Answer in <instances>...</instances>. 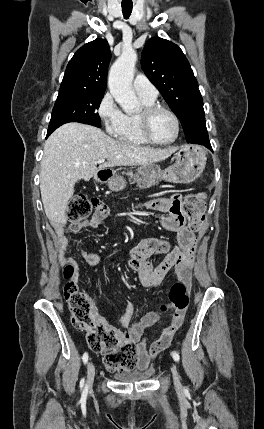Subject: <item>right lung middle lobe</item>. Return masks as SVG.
<instances>
[{
	"instance_id": "1",
	"label": "right lung middle lobe",
	"mask_w": 264,
	"mask_h": 429,
	"mask_svg": "<svg viewBox=\"0 0 264 429\" xmlns=\"http://www.w3.org/2000/svg\"><path fill=\"white\" fill-rule=\"evenodd\" d=\"M103 95L104 93L59 92L52 111L47 136L67 122H80L100 127L97 109Z\"/></svg>"
}]
</instances>
